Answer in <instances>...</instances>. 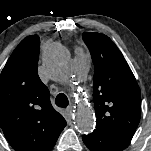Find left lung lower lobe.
<instances>
[{"label":"left lung lower lobe","instance_id":"left-lung-lower-lobe-1","mask_svg":"<svg viewBox=\"0 0 151 151\" xmlns=\"http://www.w3.org/2000/svg\"><path fill=\"white\" fill-rule=\"evenodd\" d=\"M82 139L91 151H121L128 147L132 137L94 130Z\"/></svg>","mask_w":151,"mask_h":151}]
</instances>
